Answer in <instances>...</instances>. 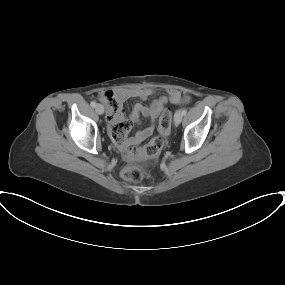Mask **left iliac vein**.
Masks as SVG:
<instances>
[{
	"mask_svg": "<svg viewBox=\"0 0 285 285\" xmlns=\"http://www.w3.org/2000/svg\"><path fill=\"white\" fill-rule=\"evenodd\" d=\"M182 119H183L182 111L177 110L175 115H174V123L176 125H179L181 123Z\"/></svg>",
	"mask_w": 285,
	"mask_h": 285,
	"instance_id": "obj_1",
	"label": "left iliac vein"
}]
</instances>
